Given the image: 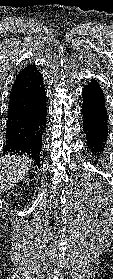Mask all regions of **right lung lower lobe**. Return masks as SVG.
<instances>
[{"instance_id": "right-lung-lower-lobe-1", "label": "right lung lower lobe", "mask_w": 113, "mask_h": 279, "mask_svg": "<svg viewBox=\"0 0 113 279\" xmlns=\"http://www.w3.org/2000/svg\"><path fill=\"white\" fill-rule=\"evenodd\" d=\"M46 114L43 78L32 65L11 89L4 154H27L39 166Z\"/></svg>"}]
</instances>
